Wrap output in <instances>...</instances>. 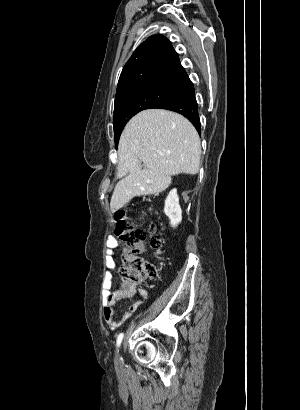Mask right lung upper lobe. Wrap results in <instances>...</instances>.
<instances>
[{"mask_svg": "<svg viewBox=\"0 0 300 410\" xmlns=\"http://www.w3.org/2000/svg\"><path fill=\"white\" fill-rule=\"evenodd\" d=\"M169 81L189 83L190 79L170 41L163 35H153L136 48L125 64L116 95L132 85Z\"/></svg>", "mask_w": 300, "mask_h": 410, "instance_id": "right-lung-upper-lobe-1", "label": "right lung upper lobe"}]
</instances>
